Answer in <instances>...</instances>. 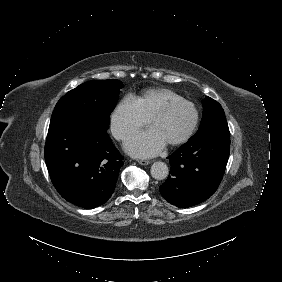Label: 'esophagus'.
<instances>
[{"mask_svg":"<svg viewBox=\"0 0 282 282\" xmlns=\"http://www.w3.org/2000/svg\"><path fill=\"white\" fill-rule=\"evenodd\" d=\"M138 163L140 165H149L151 162L150 161H146V160H139Z\"/></svg>","mask_w":282,"mask_h":282,"instance_id":"1","label":"esophagus"}]
</instances>
